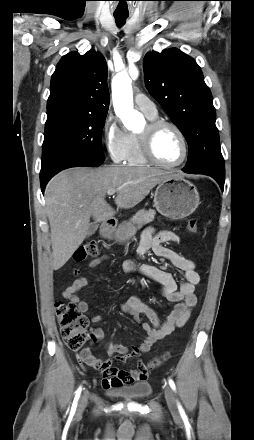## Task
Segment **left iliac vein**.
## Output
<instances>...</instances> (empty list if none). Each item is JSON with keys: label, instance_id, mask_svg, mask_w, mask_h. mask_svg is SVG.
I'll use <instances>...</instances> for the list:
<instances>
[{"label": "left iliac vein", "instance_id": "obj_1", "mask_svg": "<svg viewBox=\"0 0 254 440\" xmlns=\"http://www.w3.org/2000/svg\"><path fill=\"white\" fill-rule=\"evenodd\" d=\"M165 398L168 405L169 410L172 414H178V408L175 400L174 393L170 387L165 388Z\"/></svg>", "mask_w": 254, "mask_h": 440}]
</instances>
